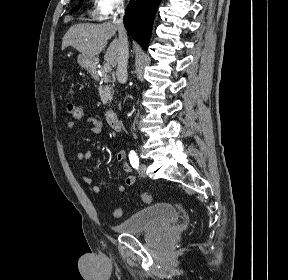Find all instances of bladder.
I'll return each mask as SVG.
<instances>
[{
    "instance_id": "31cf9c89",
    "label": "bladder",
    "mask_w": 288,
    "mask_h": 280,
    "mask_svg": "<svg viewBox=\"0 0 288 280\" xmlns=\"http://www.w3.org/2000/svg\"><path fill=\"white\" fill-rule=\"evenodd\" d=\"M180 219L178 209L170 203L151 205L122 221L115 230L124 234H137L171 226Z\"/></svg>"
}]
</instances>
